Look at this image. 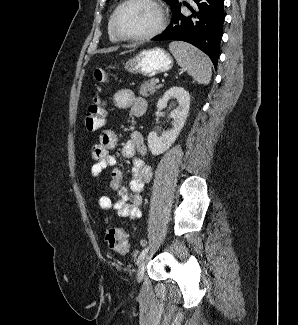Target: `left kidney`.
<instances>
[{
	"mask_svg": "<svg viewBox=\"0 0 298 325\" xmlns=\"http://www.w3.org/2000/svg\"><path fill=\"white\" fill-rule=\"evenodd\" d=\"M170 98H175L177 104L176 108H173L169 114V116L173 118L172 128L163 130L161 136H157L156 132H149L148 134V146L155 156L156 154H162V152L168 150L169 146H171L172 142H174L178 134H180V130L183 128L184 122L188 116L191 102L188 90H185L182 86H171V88H168L163 96L159 98L156 104L157 110L165 108Z\"/></svg>",
	"mask_w": 298,
	"mask_h": 325,
	"instance_id": "left-kidney-1",
	"label": "left kidney"
}]
</instances>
